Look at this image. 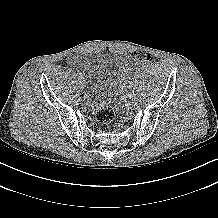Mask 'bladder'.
Instances as JSON below:
<instances>
[{"label": "bladder", "mask_w": 218, "mask_h": 218, "mask_svg": "<svg viewBox=\"0 0 218 218\" xmlns=\"http://www.w3.org/2000/svg\"><path fill=\"white\" fill-rule=\"evenodd\" d=\"M78 64L83 68L86 93L92 105H107L114 87L125 76L122 59L114 53L81 54Z\"/></svg>", "instance_id": "1"}]
</instances>
